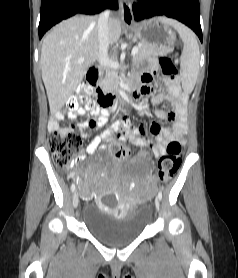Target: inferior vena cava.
I'll return each instance as SVG.
<instances>
[{"label": "inferior vena cava", "instance_id": "1", "mask_svg": "<svg viewBox=\"0 0 238 278\" xmlns=\"http://www.w3.org/2000/svg\"><path fill=\"white\" fill-rule=\"evenodd\" d=\"M109 14H110L109 11L102 12L97 21L98 40H99L98 62L100 65H106L109 61V58H108Z\"/></svg>", "mask_w": 238, "mask_h": 278}]
</instances>
